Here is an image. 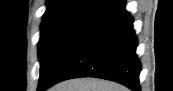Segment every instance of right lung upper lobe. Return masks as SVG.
Instances as JSON below:
<instances>
[{
	"label": "right lung upper lobe",
	"instance_id": "right-lung-upper-lobe-1",
	"mask_svg": "<svg viewBox=\"0 0 173 91\" xmlns=\"http://www.w3.org/2000/svg\"><path fill=\"white\" fill-rule=\"evenodd\" d=\"M104 0H47V10L43 15L44 24L63 21L87 22L97 13L108 8L102 5ZM117 3L121 0H111Z\"/></svg>",
	"mask_w": 173,
	"mask_h": 91
}]
</instances>
